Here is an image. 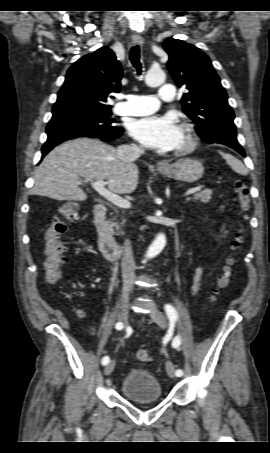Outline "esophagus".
<instances>
[{"instance_id": "1", "label": "esophagus", "mask_w": 270, "mask_h": 453, "mask_svg": "<svg viewBox=\"0 0 270 453\" xmlns=\"http://www.w3.org/2000/svg\"><path fill=\"white\" fill-rule=\"evenodd\" d=\"M132 41H133L134 44H143V42H144L142 37H133ZM167 165L168 164L165 161H158L157 162V167L158 168H163V167H166Z\"/></svg>"}]
</instances>
